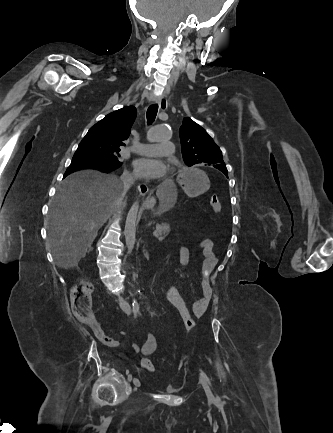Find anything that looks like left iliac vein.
Here are the masks:
<instances>
[{
  "label": "left iliac vein",
  "instance_id": "left-iliac-vein-1",
  "mask_svg": "<svg viewBox=\"0 0 333 433\" xmlns=\"http://www.w3.org/2000/svg\"><path fill=\"white\" fill-rule=\"evenodd\" d=\"M199 380H200V383L202 384V386H203L206 394L210 396L211 395V390H210V387H209L206 379L200 374L199 375Z\"/></svg>",
  "mask_w": 333,
  "mask_h": 433
}]
</instances>
